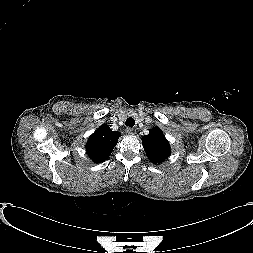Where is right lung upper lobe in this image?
<instances>
[{
	"label": "right lung upper lobe",
	"mask_w": 253,
	"mask_h": 253,
	"mask_svg": "<svg viewBox=\"0 0 253 253\" xmlns=\"http://www.w3.org/2000/svg\"><path fill=\"white\" fill-rule=\"evenodd\" d=\"M121 134L112 131L108 125L103 124L88 139L86 151L88 156L95 162H104L116 146Z\"/></svg>",
	"instance_id": "cb5924a9"
}]
</instances>
